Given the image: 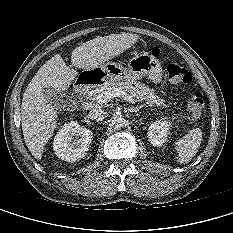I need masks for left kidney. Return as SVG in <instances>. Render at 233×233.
I'll use <instances>...</instances> for the list:
<instances>
[{"instance_id": "left-kidney-1", "label": "left kidney", "mask_w": 233, "mask_h": 233, "mask_svg": "<svg viewBox=\"0 0 233 233\" xmlns=\"http://www.w3.org/2000/svg\"><path fill=\"white\" fill-rule=\"evenodd\" d=\"M170 123L166 120H157L148 128V139L153 146H162L168 139Z\"/></svg>"}]
</instances>
